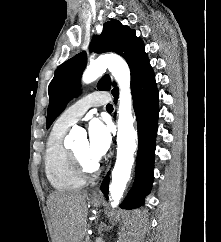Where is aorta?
<instances>
[{"mask_svg":"<svg viewBox=\"0 0 221 242\" xmlns=\"http://www.w3.org/2000/svg\"><path fill=\"white\" fill-rule=\"evenodd\" d=\"M108 69L119 86L117 159L112 171V182L109 193L111 206L116 207L123 196L127 182L130 179L134 163L136 131L133 126L132 97L130 90V69L121 57L117 55L100 56L90 63L82 75V82L89 84L101 77ZM76 132L72 130L69 140L75 139Z\"/></svg>","mask_w":221,"mask_h":242,"instance_id":"762f6f07","label":"aorta"}]
</instances>
